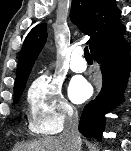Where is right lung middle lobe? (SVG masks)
Segmentation results:
<instances>
[{
  "label": "right lung middle lobe",
  "mask_w": 131,
  "mask_h": 151,
  "mask_svg": "<svg viewBox=\"0 0 131 151\" xmlns=\"http://www.w3.org/2000/svg\"><path fill=\"white\" fill-rule=\"evenodd\" d=\"M24 88L25 86L18 88L17 90H14V103H18Z\"/></svg>",
  "instance_id": "obj_1"
}]
</instances>
